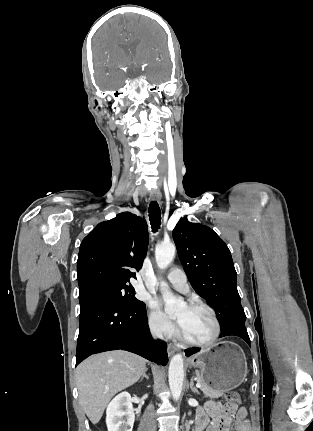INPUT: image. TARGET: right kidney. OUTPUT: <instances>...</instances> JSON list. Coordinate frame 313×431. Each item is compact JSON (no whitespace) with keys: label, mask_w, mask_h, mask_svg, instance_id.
Returning a JSON list of instances; mask_svg holds the SVG:
<instances>
[{"label":"right kidney","mask_w":313,"mask_h":431,"mask_svg":"<svg viewBox=\"0 0 313 431\" xmlns=\"http://www.w3.org/2000/svg\"><path fill=\"white\" fill-rule=\"evenodd\" d=\"M135 420L131 396L128 392L118 394L107 406L108 431H132Z\"/></svg>","instance_id":"ca27d5eb"}]
</instances>
